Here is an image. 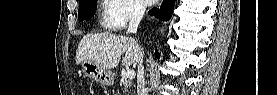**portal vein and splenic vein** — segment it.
I'll list each match as a JSON object with an SVG mask.
<instances>
[{
  "label": "portal vein and splenic vein",
  "instance_id": "portal-vein-and-splenic-vein-1",
  "mask_svg": "<svg viewBox=\"0 0 277 95\" xmlns=\"http://www.w3.org/2000/svg\"><path fill=\"white\" fill-rule=\"evenodd\" d=\"M125 78L128 80H132L133 78H135V72L133 70H127Z\"/></svg>",
  "mask_w": 277,
  "mask_h": 95
}]
</instances>
